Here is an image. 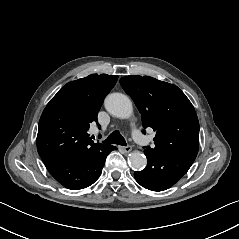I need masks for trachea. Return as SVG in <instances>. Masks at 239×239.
<instances>
[{
    "instance_id": "obj_1",
    "label": "trachea",
    "mask_w": 239,
    "mask_h": 239,
    "mask_svg": "<svg viewBox=\"0 0 239 239\" xmlns=\"http://www.w3.org/2000/svg\"><path fill=\"white\" fill-rule=\"evenodd\" d=\"M103 142L108 143V144H116V145L126 146V141H125L124 137L117 130L112 132L107 137V139L104 140Z\"/></svg>"
}]
</instances>
